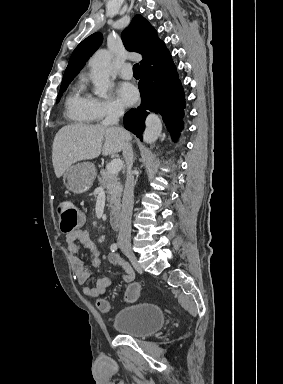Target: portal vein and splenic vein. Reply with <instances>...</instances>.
Masks as SVG:
<instances>
[{
	"instance_id": "obj_1",
	"label": "portal vein and splenic vein",
	"mask_w": 283,
	"mask_h": 384,
	"mask_svg": "<svg viewBox=\"0 0 283 384\" xmlns=\"http://www.w3.org/2000/svg\"><path fill=\"white\" fill-rule=\"evenodd\" d=\"M122 166V160H112V162H110L107 168V176H112V174H118V172L122 170Z\"/></svg>"
}]
</instances>
